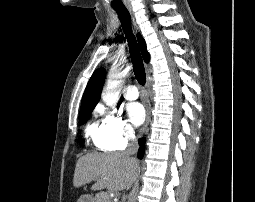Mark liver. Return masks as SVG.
<instances>
[{
    "instance_id": "6515ba94",
    "label": "liver",
    "mask_w": 255,
    "mask_h": 202,
    "mask_svg": "<svg viewBox=\"0 0 255 202\" xmlns=\"http://www.w3.org/2000/svg\"><path fill=\"white\" fill-rule=\"evenodd\" d=\"M139 163L133 162L125 153H92L78 159L73 185L79 188L92 180L97 182L92 189L107 188L121 191L136 180Z\"/></svg>"
}]
</instances>
